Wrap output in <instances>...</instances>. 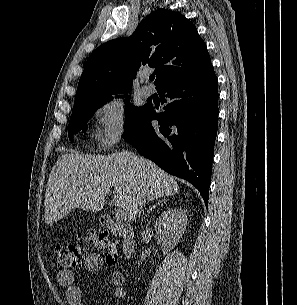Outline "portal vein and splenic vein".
Returning <instances> with one entry per match:
<instances>
[{"mask_svg":"<svg viewBox=\"0 0 297 305\" xmlns=\"http://www.w3.org/2000/svg\"><path fill=\"white\" fill-rule=\"evenodd\" d=\"M115 216L118 220L126 219V214H125L124 210H122L120 208L116 210Z\"/></svg>","mask_w":297,"mask_h":305,"instance_id":"portal-vein-and-splenic-vein-1","label":"portal vein and splenic vein"}]
</instances>
